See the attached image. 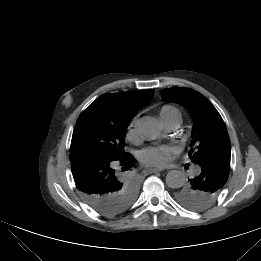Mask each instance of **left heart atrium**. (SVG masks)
I'll list each match as a JSON object with an SVG mask.
<instances>
[{"instance_id":"1","label":"left heart atrium","mask_w":261,"mask_h":261,"mask_svg":"<svg viewBox=\"0 0 261 261\" xmlns=\"http://www.w3.org/2000/svg\"><path fill=\"white\" fill-rule=\"evenodd\" d=\"M176 149L169 144L149 147L141 154V161L146 166L164 167L170 162Z\"/></svg>"}]
</instances>
